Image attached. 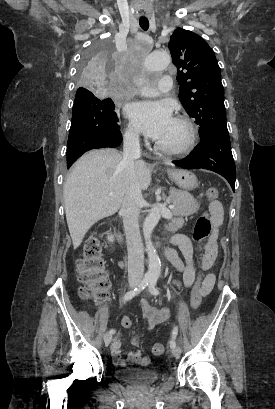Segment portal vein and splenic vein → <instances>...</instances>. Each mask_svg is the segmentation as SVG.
<instances>
[{"instance_id": "18ae733b", "label": "portal vein and splenic vein", "mask_w": 275, "mask_h": 409, "mask_svg": "<svg viewBox=\"0 0 275 409\" xmlns=\"http://www.w3.org/2000/svg\"><path fill=\"white\" fill-rule=\"evenodd\" d=\"M109 194H113V192H109ZM168 209H174V205H169Z\"/></svg>"}]
</instances>
